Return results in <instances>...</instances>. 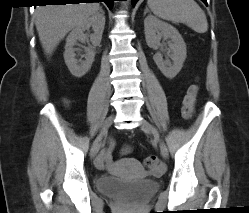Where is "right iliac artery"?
<instances>
[{"label": "right iliac artery", "mask_w": 249, "mask_h": 213, "mask_svg": "<svg viewBox=\"0 0 249 213\" xmlns=\"http://www.w3.org/2000/svg\"><path fill=\"white\" fill-rule=\"evenodd\" d=\"M99 140V137H97L96 139H95V141L94 142H96V141H98Z\"/></svg>", "instance_id": "1"}]
</instances>
